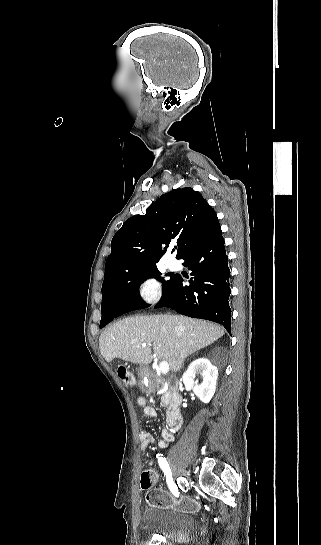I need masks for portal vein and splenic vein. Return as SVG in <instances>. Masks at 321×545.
<instances>
[{"instance_id":"18ae733b","label":"portal vein and splenic vein","mask_w":321,"mask_h":545,"mask_svg":"<svg viewBox=\"0 0 321 545\" xmlns=\"http://www.w3.org/2000/svg\"><path fill=\"white\" fill-rule=\"evenodd\" d=\"M141 347H147V343H142ZM159 371L162 373V375H166L169 371V365L166 363V361H162L159 365Z\"/></svg>"}]
</instances>
